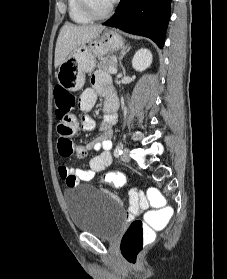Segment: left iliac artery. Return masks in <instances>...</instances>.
I'll use <instances>...</instances> for the list:
<instances>
[{
	"label": "left iliac artery",
	"mask_w": 227,
	"mask_h": 279,
	"mask_svg": "<svg viewBox=\"0 0 227 279\" xmlns=\"http://www.w3.org/2000/svg\"><path fill=\"white\" fill-rule=\"evenodd\" d=\"M123 141H119L118 145L116 146L115 150H114V156L115 157H119L122 152H123Z\"/></svg>",
	"instance_id": "left-iliac-artery-1"
}]
</instances>
